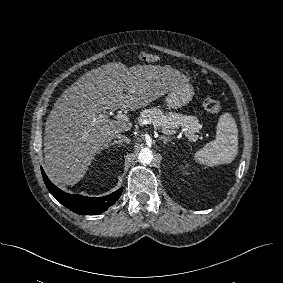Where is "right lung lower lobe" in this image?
Returning a JSON list of instances; mask_svg holds the SVG:
<instances>
[{
  "label": "right lung lower lobe",
  "mask_w": 283,
  "mask_h": 283,
  "mask_svg": "<svg viewBox=\"0 0 283 283\" xmlns=\"http://www.w3.org/2000/svg\"><path fill=\"white\" fill-rule=\"evenodd\" d=\"M43 180L49 192L64 206L71 211L82 215H97L107 210L113 205L121 196L122 189L98 198L85 197L82 195H72L63 192L57 188L46 176L44 170L41 168Z\"/></svg>",
  "instance_id": "right-lung-lower-lobe-1"
}]
</instances>
